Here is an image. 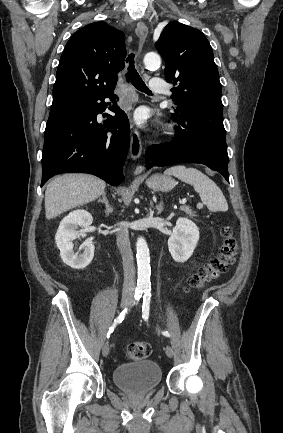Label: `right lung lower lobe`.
Instances as JSON below:
<instances>
[{"label": "right lung lower lobe", "instance_id": "1", "mask_svg": "<svg viewBox=\"0 0 283 433\" xmlns=\"http://www.w3.org/2000/svg\"><path fill=\"white\" fill-rule=\"evenodd\" d=\"M115 117L100 123L96 117L105 110L104 99ZM113 91L65 108L50 110L42 152L41 187L52 176L66 172L96 175L111 185L123 180V165L130 145L127 115L116 104Z\"/></svg>", "mask_w": 283, "mask_h": 433}]
</instances>
